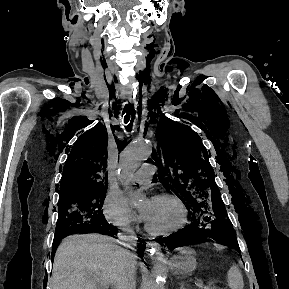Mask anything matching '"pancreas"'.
Segmentation results:
<instances>
[{"instance_id": "pancreas-1", "label": "pancreas", "mask_w": 289, "mask_h": 289, "mask_svg": "<svg viewBox=\"0 0 289 289\" xmlns=\"http://www.w3.org/2000/svg\"><path fill=\"white\" fill-rule=\"evenodd\" d=\"M204 289H216V287L213 285H208V286H205Z\"/></svg>"}]
</instances>
